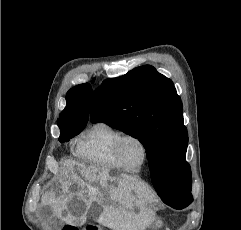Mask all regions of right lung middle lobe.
<instances>
[{
	"instance_id": "right-lung-middle-lobe-1",
	"label": "right lung middle lobe",
	"mask_w": 241,
	"mask_h": 230,
	"mask_svg": "<svg viewBox=\"0 0 241 230\" xmlns=\"http://www.w3.org/2000/svg\"><path fill=\"white\" fill-rule=\"evenodd\" d=\"M83 128L84 127H71V126L60 128L61 135L59 137V141L60 142H64V141L68 142L70 140V138L78 135L83 130Z\"/></svg>"
}]
</instances>
